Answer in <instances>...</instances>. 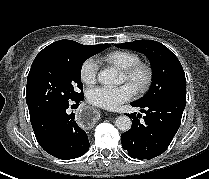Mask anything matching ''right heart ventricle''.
I'll list each match as a JSON object with an SVG mask.
<instances>
[{
    "label": "right heart ventricle",
    "mask_w": 209,
    "mask_h": 179,
    "mask_svg": "<svg viewBox=\"0 0 209 179\" xmlns=\"http://www.w3.org/2000/svg\"><path fill=\"white\" fill-rule=\"evenodd\" d=\"M100 59L106 64L120 70H125L139 62V56L136 53L127 50H114L106 53Z\"/></svg>",
    "instance_id": "right-heart-ventricle-1"
}]
</instances>
